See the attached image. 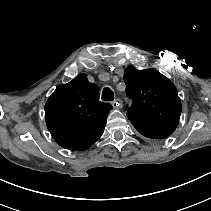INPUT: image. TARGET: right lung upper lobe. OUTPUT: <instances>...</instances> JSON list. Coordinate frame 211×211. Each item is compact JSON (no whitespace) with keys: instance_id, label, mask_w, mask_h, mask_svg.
<instances>
[{"instance_id":"1","label":"right lung upper lobe","mask_w":211,"mask_h":211,"mask_svg":"<svg viewBox=\"0 0 211 211\" xmlns=\"http://www.w3.org/2000/svg\"><path fill=\"white\" fill-rule=\"evenodd\" d=\"M112 105L99 100V91L86 74L60 85L45 104L46 125L54 140L68 150H85L103 134Z\"/></svg>"}]
</instances>
